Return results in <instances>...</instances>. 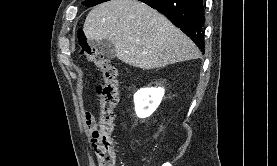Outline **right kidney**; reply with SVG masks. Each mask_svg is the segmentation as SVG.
I'll use <instances>...</instances> for the list:
<instances>
[{
    "mask_svg": "<svg viewBox=\"0 0 277 166\" xmlns=\"http://www.w3.org/2000/svg\"><path fill=\"white\" fill-rule=\"evenodd\" d=\"M164 96L162 87L144 88L134 95L135 111L139 118H147L157 109Z\"/></svg>",
    "mask_w": 277,
    "mask_h": 166,
    "instance_id": "1",
    "label": "right kidney"
}]
</instances>
